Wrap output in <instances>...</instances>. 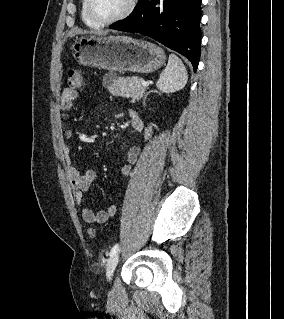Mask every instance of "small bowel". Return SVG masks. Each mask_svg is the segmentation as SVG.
<instances>
[{"label": "small bowel", "instance_id": "obj_1", "mask_svg": "<svg viewBox=\"0 0 284 319\" xmlns=\"http://www.w3.org/2000/svg\"><path fill=\"white\" fill-rule=\"evenodd\" d=\"M77 98L76 90L72 88H66L61 94L59 100V109L62 112L69 111L74 101ZM131 125L136 132H142L144 134V139L148 141L151 139L154 131V126L152 124L145 125L140 119L136 111H131ZM68 115L66 113L62 114V120L64 123V135L66 138L71 137L72 132L68 126ZM141 149L139 146H132L128 150L127 163L121 167L120 173L124 178H128L132 173V167L137 162ZM68 178L71 183V187L74 191L75 202L81 207L82 218L86 223L89 224H102L105 223L109 218L116 214V206L110 205L104 210L93 211L92 209L84 205V193L89 190L92 183L96 178V173L93 170H86L85 172H80L71 163L68 164L67 169Z\"/></svg>", "mask_w": 284, "mask_h": 319}]
</instances>
